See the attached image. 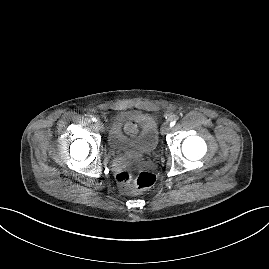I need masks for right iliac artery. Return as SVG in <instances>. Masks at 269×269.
<instances>
[{"mask_svg": "<svg viewBox=\"0 0 269 269\" xmlns=\"http://www.w3.org/2000/svg\"><path fill=\"white\" fill-rule=\"evenodd\" d=\"M92 121H93V122H97V119L93 117V118H92Z\"/></svg>", "mask_w": 269, "mask_h": 269, "instance_id": "obj_1", "label": "right iliac artery"}]
</instances>
